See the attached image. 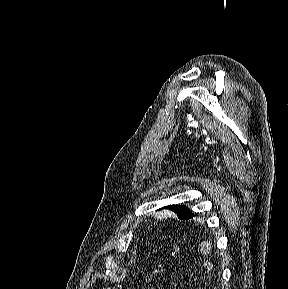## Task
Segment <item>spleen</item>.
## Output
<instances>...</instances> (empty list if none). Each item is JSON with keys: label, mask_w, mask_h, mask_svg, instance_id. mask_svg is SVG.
Instances as JSON below:
<instances>
[{"label": "spleen", "mask_w": 288, "mask_h": 289, "mask_svg": "<svg viewBox=\"0 0 288 289\" xmlns=\"http://www.w3.org/2000/svg\"><path fill=\"white\" fill-rule=\"evenodd\" d=\"M206 265L208 266V268H212V264L210 262H207Z\"/></svg>", "instance_id": "obj_1"}]
</instances>
